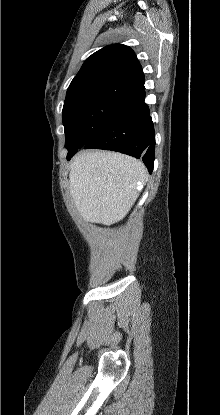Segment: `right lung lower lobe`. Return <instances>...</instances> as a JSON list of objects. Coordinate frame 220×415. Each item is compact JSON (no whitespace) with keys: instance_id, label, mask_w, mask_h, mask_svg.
<instances>
[{"instance_id":"1","label":"right lung lower lobe","mask_w":220,"mask_h":415,"mask_svg":"<svg viewBox=\"0 0 220 415\" xmlns=\"http://www.w3.org/2000/svg\"><path fill=\"white\" fill-rule=\"evenodd\" d=\"M145 100V88L121 104L83 146L112 150L142 159L149 173L154 166L155 133ZM79 148H69V160Z\"/></svg>"}]
</instances>
